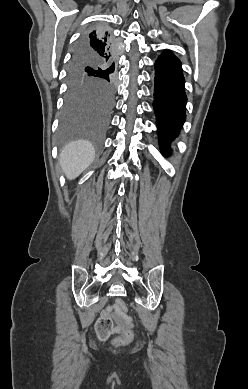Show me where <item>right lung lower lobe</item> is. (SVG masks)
I'll list each match as a JSON object with an SVG mask.
<instances>
[{
  "label": "right lung lower lobe",
  "instance_id": "obj_1",
  "mask_svg": "<svg viewBox=\"0 0 248 389\" xmlns=\"http://www.w3.org/2000/svg\"><path fill=\"white\" fill-rule=\"evenodd\" d=\"M103 39H104L105 41H107L108 47H106V50H107L108 48H112V47H113L112 44H114V42H113V40L111 39L110 34H108V32L104 33ZM78 46L81 48V50L83 51V53L88 54V55H92L91 52H89V51L84 47V38L81 40V42L79 43ZM95 49H96L98 52H99L100 50H103V51H104V48H95Z\"/></svg>",
  "mask_w": 248,
  "mask_h": 389
}]
</instances>
